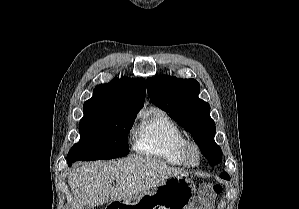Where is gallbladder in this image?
I'll return each mask as SVG.
<instances>
[{
  "label": "gallbladder",
  "mask_w": 299,
  "mask_h": 209,
  "mask_svg": "<svg viewBox=\"0 0 299 209\" xmlns=\"http://www.w3.org/2000/svg\"><path fill=\"white\" fill-rule=\"evenodd\" d=\"M82 209H93V208L91 206H89V205H86Z\"/></svg>",
  "instance_id": "bac80fb5"
}]
</instances>
